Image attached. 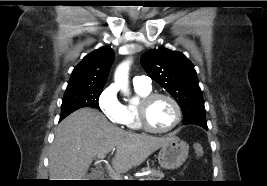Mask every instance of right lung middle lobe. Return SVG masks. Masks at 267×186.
Here are the masks:
<instances>
[{
  "mask_svg": "<svg viewBox=\"0 0 267 186\" xmlns=\"http://www.w3.org/2000/svg\"><path fill=\"white\" fill-rule=\"evenodd\" d=\"M102 90V88L66 89L62 100L60 118L63 119L83 107L99 109L98 100Z\"/></svg>",
  "mask_w": 267,
  "mask_h": 186,
  "instance_id": "dd1d6c3e",
  "label": "right lung middle lobe"
}]
</instances>
